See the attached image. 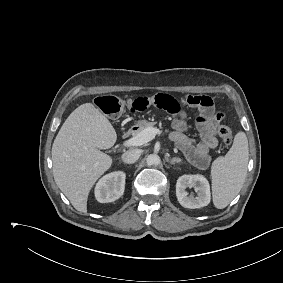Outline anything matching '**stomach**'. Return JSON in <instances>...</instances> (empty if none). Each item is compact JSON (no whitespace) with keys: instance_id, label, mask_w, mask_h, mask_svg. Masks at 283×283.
<instances>
[{"instance_id":"1","label":"stomach","mask_w":283,"mask_h":283,"mask_svg":"<svg viewBox=\"0 0 283 283\" xmlns=\"http://www.w3.org/2000/svg\"><path fill=\"white\" fill-rule=\"evenodd\" d=\"M147 121L145 120H141V121H138L137 124H136V127H141L142 125H144Z\"/></svg>"}]
</instances>
